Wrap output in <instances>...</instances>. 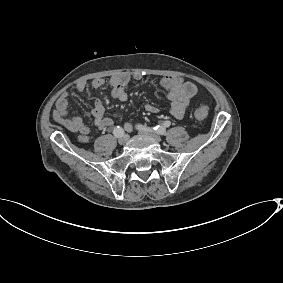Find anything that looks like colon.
Instances as JSON below:
<instances>
[{
    "mask_svg": "<svg viewBox=\"0 0 283 283\" xmlns=\"http://www.w3.org/2000/svg\"><path fill=\"white\" fill-rule=\"evenodd\" d=\"M194 117L198 120H202L208 115V107L206 105H199L194 109Z\"/></svg>",
    "mask_w": 283,
    "mask_h": 283,
    "instance_id": "1",
    "label": "colon"
}]
</instances>
